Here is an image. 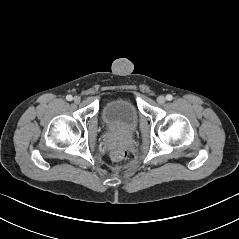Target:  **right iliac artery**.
Returning <instances> with one entry per match:
<instances>
[{
  "instance_id": "82829eb1",
  "label": "right iliac artery",
  "mask_w": 239,
  "mask_h": 239,
  "mask_svg": "<svg viewBox=\"0 0 239 239\" xmlns=\"http://www.w3.org/2000/svg\"><path fill=\"white\" fill-rule=\"evenodd\" d=\"M66 99H67L68 101H71V100L73 99V97H72L71 95H67V96H66Z\"/></svg>"
}]
</instances>
